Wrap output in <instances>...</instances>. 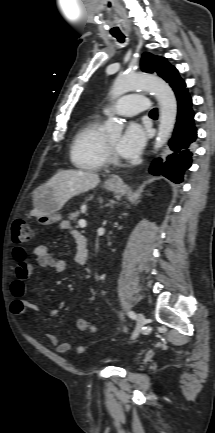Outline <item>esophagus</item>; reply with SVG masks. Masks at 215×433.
<instances>
[{"label": "esophagus", "instance_id": "34e87169", "mask_svg": "<svg viewBox=\"0 0 215 433\" xmlns=\"http://www.w3.org/2000/svg\"><path fill=\"white\" fill-rule=\"evenodd\" d=\"M107 183L114 186H118L121 185L123 181L119 176H113L107 180Z\"/></svg>", "mask_w": 215, "mask_h": 433}]
</instances>
